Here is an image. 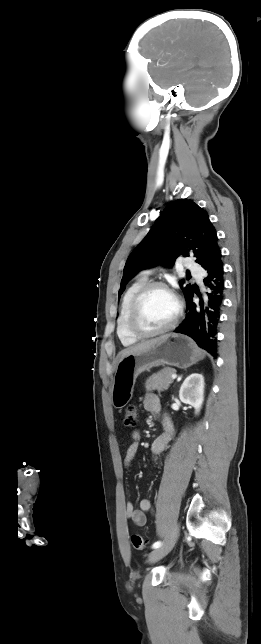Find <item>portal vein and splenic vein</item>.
Here are the masks:
<instances>
[{
  "label": "portal vein and splenic vein",
  "mask_w": 261,
  "mask_h": 644,
  "mask_svg": "<svg viewBox=\"0 0 261 644\" xmlns=\"http://www.w3.org/2000/svg\"><path fill=\"white\" fill-rule=\"evenodd\" d=\"M171 378H172V379H176V378H177V375H176V374H172Z\"/></svg>",
  "instance_id": "portal-vein-and-splenic-vein-1"
}]
</instances>
